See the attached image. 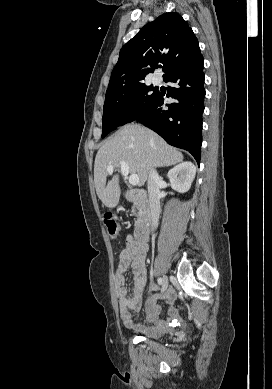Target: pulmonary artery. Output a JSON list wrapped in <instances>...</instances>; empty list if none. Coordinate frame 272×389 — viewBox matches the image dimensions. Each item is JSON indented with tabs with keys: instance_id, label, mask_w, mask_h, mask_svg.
Instances as JSON below:
<instances>
[{
	"instance_id": "pulmonary-artery-1",
	"label": "pulmonary artery",
	"mask_w": 272,
	"mask_h": 389,
	"mask_svg": "<svg viewBox=\"0 0 272 389\" xmlns=\"http://www.w3.org/2000/svg\"><path fill=\"white\" fill-rule=\"evenodd\" d=\"M154 82H155V83H158V82H159V79H158V78H155V79H154Z\"/></svg>"
}]
</instances>
